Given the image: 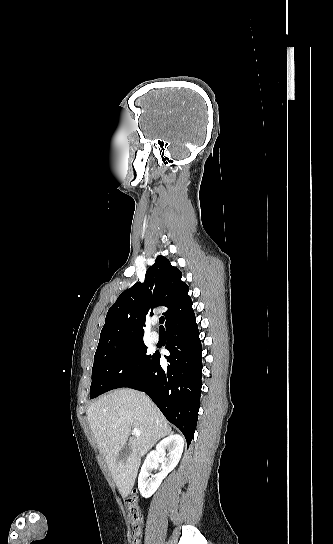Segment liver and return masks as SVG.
<instances>
[{
  "mask_svg": "<svg viewBox=\"0 0 333 544\" xmlns=\"http://www.w3.org/2000/svg\"><path fill=\"white\" fill-rule=\"evenodd\" d=\"M87 419L120 494L128 496L141 457L158 440L171 434V427L145 394L128 388L111 391L93 402L88 407ZM133 427L138 428L141 435L129 439ZM128 439L131 454L124 460H117Z\"/></svg>",
  "mask_w": 333,
  "mask_h": 544,
  "instance_id": "6515ba94",
  "label": "liver"
}]
</instances>
